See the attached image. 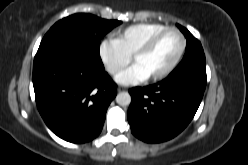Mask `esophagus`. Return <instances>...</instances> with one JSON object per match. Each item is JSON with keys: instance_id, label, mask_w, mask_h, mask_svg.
<instances>
[{"instance_id": "esophagus-1", "label": "esophagus", "mask_w": 248, "mask_h": 165, "mask_svg": "<svg viewBox=\"0 0 248 165\" xmlns=\"http://www.w3.org/2000/svg\"><path fill=\"white\" fill-rule=\"evenodd\" d=\"M122 91H126V88L125 87H122V86H119L118 87V92H122Z\"/></svg>"}]
</instances>
